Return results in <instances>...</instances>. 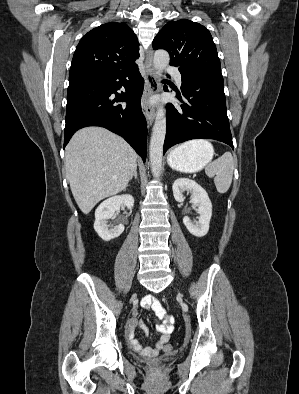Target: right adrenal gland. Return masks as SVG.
<instances>
[{
  "label": "right adrenal gland",
  "mask_w": 299,
  "mask_h": 394,
  "mask_svg": "<svg viewBox=\"0 0 299 394\" xmlns=\"http://www.w3.org/2000/svg\"><path fill=\"white\" fill-rule=\"evenodd\" d=\"M133 177H134L135 179L138 178V175H137V167H136L135 170H134V173H133V175H132V177H131V180L133 179Z\"/></svg>",
  "instance_id": "obj_1"
}]
</instances>
